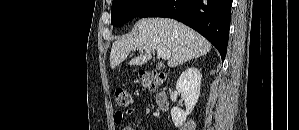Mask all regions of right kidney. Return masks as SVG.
<instances>
[{"mask_svg":"<svg viewBox=\"0 0 299 130\" xmlns=\"http://www.w3.org/2000/svg\"><path fill=\"white\" fill-rule=\"evenodd\" d=\"M201 73L195 67L187 68L179 77L176 83V90L181 94L185 102L186 110L178 107L171 109V117L176 127H180L186 118L193 111L200 96Z\"/></svg>","mask_w":299,"mask_h":130,"instance_id":"ca27d5eb","label":"right kidney"}]
</instances>
